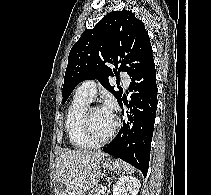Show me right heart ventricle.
<instances>
[{
	"label": "right heart ventricle",
	"mask_w": 211,
	"mask_h": 195,
	"mask_svg": "<svg viewBox=\"0 0 211 195\" xmlns=\"http://www.w3.org/2000/svg\"><path fill=\"white\" fill-rule=\"evenodd\" d=\"M91 100L75 93L65 116V130L76 149H89L93 145L85 138L82 129V115Z\"/></svg>",
	"instance_id": "obj_1"
}]
</instances>
